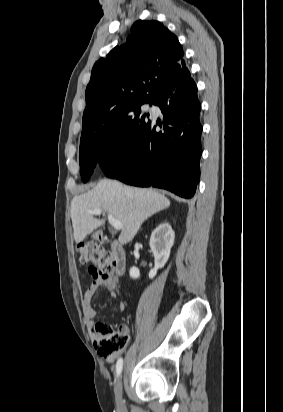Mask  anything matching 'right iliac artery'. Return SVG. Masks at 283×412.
Instances as JSON below:
<instances>
[{
	"instance_id": "obj_1",
	"label": "right iliac artery",
	"mask_w": 283,
	"mask_h": 412,
	"mask_svg": "<svg viewBox=\"0 0 283 412\" xmlns=\"http://www.w3.org/2000/svg\"><path fill=\"white\" fill-rule=\"evenodd\" d=\"M123 368V359L119 358L116 364V375L119 376Z\"/></svg>"
}]
</instances>
